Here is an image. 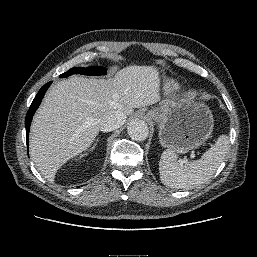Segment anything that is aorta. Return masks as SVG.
Masks as SVG:
<instances>
[{
  "instance_id": "1",
  "label": "aorta",
  "mask_w": 257,
  "mask_h": 257,
  "mask_svg": "<svg viewBox=\"0 0 257 257\" xmlns=\"http://www.w3.org/2000/svg\"><path fill=\"white\" fill-rule=\"evenodd\" d=\"M129 136L136 141L145 140L148 137L149 129L141 119H132L127 126Z\"/></svg>"
}]
</instances>
